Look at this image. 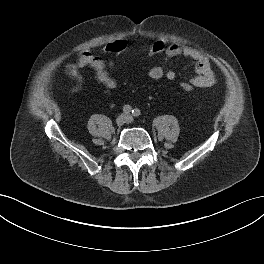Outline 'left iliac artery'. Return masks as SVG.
Returning a JSON list of instances; mask_svg holds the SVG:
<instances>
[{
    "instance_id": "1",
    "label": "left iliac artery",
    "mask_w": 264,
    "mask_h": 264,
    "mask_svg": "<svg viewBox=\"0 0 264 264\" xmlns=\"http://www.w3.org/2000/svg\"><path fill=\"white\" fill-rule=\"evenodd\" d=\"M132 114H133V116L138 117L140 115V110L136 108V109L132 110Z\"/></svg>"
}]
</instances>
